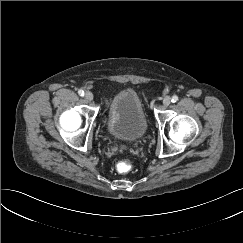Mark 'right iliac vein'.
Listing matches in <instances>:
<instances>
[{
  "instance_id": "1",
  "label": "right iliac vein",
  "mask_w": 243,
  "mask_h": 243,
  "mask_svg": "<svg viewBox=\"0 0 243 243\" xmlns=\"http://www.w3.org/2000/svg\"><path fill=\"white\" fill-rule=\"evenodd\" d=\"M87 101H92L93 100V94L91 93V92H89V91H87L86 93H85V97H84Z\"/></svg>"
}]
</instances>
